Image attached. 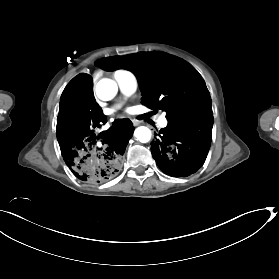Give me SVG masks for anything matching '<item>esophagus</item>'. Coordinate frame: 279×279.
<instances>
[{
    "label": "esophagus",
    "instance_id": "34e87169",
    "mask_svg": "<svg viewBox=\"0 0 279 279\" xmlns=\"http://www.w3.org/2000/svg\"><path fill=\"white\" fill-rule=\"evenodd\" d=\"M134 126H138L139 122L137 120H132Z\"/></svg>",
    "mask_w": 279,
    "mask_h": 279
}]
</instances>
